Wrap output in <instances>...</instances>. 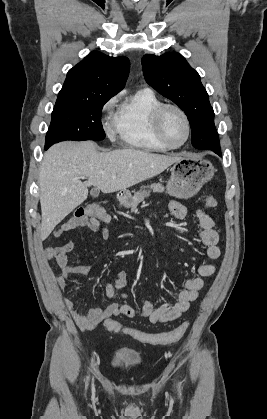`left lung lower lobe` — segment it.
Instances as JSON below:
<instances>
[{"instance_id": "0a47b994", "label": "left lung lower lobe", "mask_w": 267, "mask_h": 419, "mask_svg": "<svg viewBox=\"0 0 267 419\" xmlns=\"http://www.w3.org/2000/svg\"><path fill=\"white\" fill-rule=\"evenodd\" d=\"M211 146H208V148H210ZM210 150V149H209ZM215 153H217V154H221V151H220V149H215Z\"/></svg>"}]
</instances>
